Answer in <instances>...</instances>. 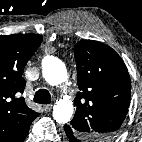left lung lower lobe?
I'll use <instances>...</instances> for the list:
<instances>
[{
  "mask_svg": "<svg viewBox=\"0 0 142 142\" xmlns=\"http://www.w3.org/2000/svg\"><path fill=\"white\" fill-rule=\"evenodd\" d=\"M64 131L68 142H82V139H80L68 125L64 126Z\"/></svg>",
  "mask_w": 142,
  "mask_h": 142,
  "instance_id": "1",
  "label": "left lung lower lobe"
}]
</instances>
